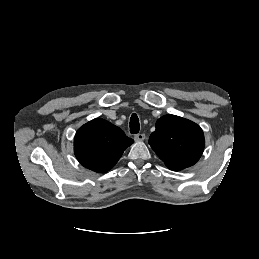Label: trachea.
Instances as JSON below:
<instances>
[{"instance_id": "1", "label": "trachea", "mask_w": 259, "mask_h": 259, "mask_svg": "<svg viewBox=\"0 0 259 259\" xmlns=\"http://www.w3.org/2000/svg\"><path fill=\"white\" fill-rule=\"evenodd\" d=\"M140 130V124H139V119L136 114H132L130 118V132L132 134H137Z\"/></svg>"}]
</instances>
